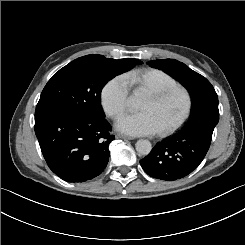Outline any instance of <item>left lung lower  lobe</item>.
Masks as SVG:
<instances>
[{
  "label": "left lung lower lobe",
  "mask_w": 245,
  "mask_h": 245,
  "mask_svg": "<svg viewBox=\"0 0 245 245\" xmlns=\"http://www.w3.org/2000/svg\"><path fill=\"white\" fill-rule=\"evenodd\" d=\"M219 121L218 96L212 86L193 101L188 124L176 135L158 142L140 164L151 177L175 181L193 172L205 157Z\"/></svg>",
  "instance_id": "0a47b994"
}]
</instances>
